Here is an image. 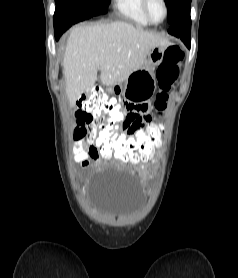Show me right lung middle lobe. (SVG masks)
I'll list each match as a JSON object with an SVG mask.
<instances>
[{
	"label": "right lung middle lobe",
	"mask_w": 238,
	"mask_h": 278,
	"mask_svg": "<svg viewBox=\"0 0 238 278\" xmlns=\"http://www.w3.org/2000/svg\"><path fill=\"white\" fill-rule=\"evenodd\" d=\"M57 4H75L83 8L90 17L105 14L108 11L109 0H55Z\"/></svg>",
	"instance_id": "dd1d6c3e"
}]
</instances>
